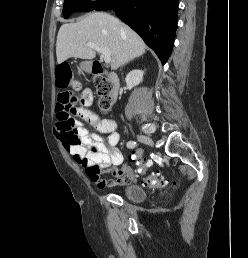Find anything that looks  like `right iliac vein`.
<instances>
[{
	"label": "right iliac vein",
	"mask_w": 248,
	"mask_h": 258,
	"mask_svg": "<svg viewBox=\"0 0 248 258\" xmlns=\"http://www.w3.org/2000/svg\"><path fill=\"white\" fill-rule=\"evenodd\" d=\"M137 140L141 143H144V144H147L150 146L154 145L153 140L149 136H146V135H137Z\"/></svg>",
	"instance_id": "1"
}]
</instances>
